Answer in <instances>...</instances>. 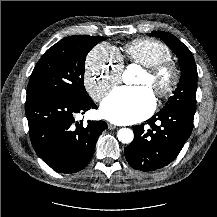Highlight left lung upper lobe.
Instances as JSON below:
<instances>
[{"instance_id": "1", "label": "left lung upper lobe", "mask_w": 217, "mask_h": 217, "mask_svg": "<svg viewBox=\"0 0 217 217\" xmlns=\"http://www.w3.org/2000/svg\"><path fill=\"white\" fill-rule=\"evenodd\" d=\"M150 35L162 39L175 52L181 68V78L178 87L174 91V95L169 98L166 105L159 112L174 108L195 111L198 74L191 51L170 33L157 31Z\"/></svg>"}]
</instances>
